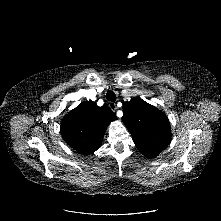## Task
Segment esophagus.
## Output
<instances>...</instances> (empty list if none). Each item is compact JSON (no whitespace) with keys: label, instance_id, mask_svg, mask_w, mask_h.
Listing matches in <instances>:
<instances>
[{"label":"esophagus","instance_id":"esophagus-1","mask_svg":"<svg viewBox=\"0 0 221 221\" xmlns=\"http://www.w3.org/2000/svg\"><path fill=\"white\" fill-rule=\"evenodd\" d=\"M108 105L112 111H116L118 109L115 102H109Z\"/></svg>","mask_w":221,"mask_h":221}]
</instances>
